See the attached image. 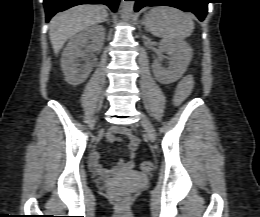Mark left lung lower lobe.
I'll return each instance as SVG.
<instances>
[{"mask_svg": "<svg viewBox=\"0 0 260 217\" xmlns=\"http://www.w3.org/2000/svg\"><path fill=\"white\" fill-rule=\"evenodd\" d=\"M136 1L135 11L145 6H172L186 12L194 13L200 21H203L207 14L209 0H133Z\"/></svg>", "mask_w": 260, "mask_h": 217, "instance_id": "1", "label": "left lung lower lobe"}]
</instances>
